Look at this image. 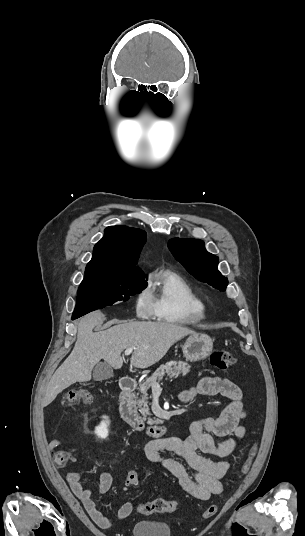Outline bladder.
<instances>
[{
  "mask_svg": "<svg viewBox=\"0 0 305 536\" xmlns=\"http://www.w3.org/2000/svg\"><path fill=\"white\" fill-rule=\"evenodd\" d=\"M131 534L132 536H173V528L170 523L145 518L132 524Z\"/></svg>",
  "mask_w": 305,
  "mask_h": 536,
  "instance_id": "1",
  "label": "bladder"
}]
</instances>
